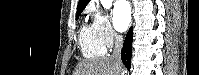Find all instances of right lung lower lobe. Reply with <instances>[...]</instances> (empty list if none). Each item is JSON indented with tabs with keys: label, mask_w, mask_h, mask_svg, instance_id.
<instances>
[{
	"label": "right lung lower lobe",
	"mask_w": 199,
	"mask_h": 75,
	"mask_svg": "<svg viewBox=\"0 0 199 75\" xmlns=\"http://www.w3.org/2000/svg\"><path fill=\"white\" fill-rule=\"evenodd\" d=\"M132 40H133V28L131 27L126 35L123 49L121 51L122 62L128 70H130L131 67Z\"/></svg>",
	"instance_id": "1"
}]
</instances>
